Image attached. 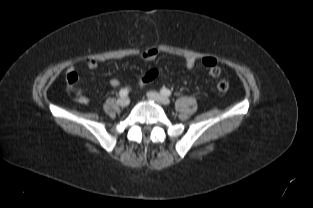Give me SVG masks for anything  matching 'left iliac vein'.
<instances>
[{"instance_id":"left-iliac-vein-1","label":"left iliac vein","mask_w":313,"mask_h":208,"mask_svg":"<svg viewBox=\"0 0 313 208\" xmlns=\"http://www.w3.org/2000/svg\"><path fill=\"white\" fill-rule=\"evenodd\" d=\"M147 97L159 104L168 105L170 103V100L166 96L155 91H149Z\"/></svg>"}]
</instances>
